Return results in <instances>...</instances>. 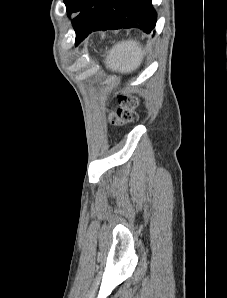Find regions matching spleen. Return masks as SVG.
<instances>
[{
    "instance_id": "1",
    "label": "spleen",
    "mask_w": 227,
    "mask_h": 298,
    "mask_svg": "<svg viewBox=\"0 0 227 298\" xmlns=\"http://www.w3.org/2000/svg\"><path fill=\"white\" fill-rule=\"evenodd\" d=\"M144 51L139 42L134 40L121 41L115 44L105 58L107 69L120 73H131L141 64Z\"/></svg>"
}]
</instances>
